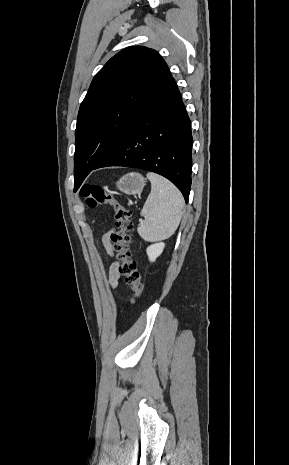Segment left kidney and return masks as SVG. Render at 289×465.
Instances as JSON below:
<instances>
[{"instance_id": "obj_1", "label": "left kidney", "mask_w": 289, "mask_h": 465, "mask_svg": "<svg viewBox=\"0 0 289 465\" xmlns=\"http://www.w3.org/2000/svg\"><path fill=\"white\" fill-rule=\"evenodd\" d=\"M165 244L163 242L160 243H155L147 247L146 252L148 255V258L151 262H154L157 257H159L163 250H164Z\"/></svg>"}]
</instances>
